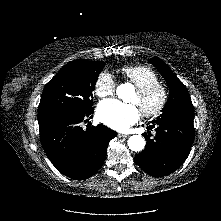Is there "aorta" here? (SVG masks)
<instances>
[{
  "mask_svg": "<svg viewBox=\"0 0 221 221\" xmlns=\"http://www.w3.org/2000/svg\"><path fill=\"white\" fill-rule=\"evenodd\" d=\"M132 90V85L125 83L119 85L116 92L118 97L122 98L124 93H130ZM128 146L132 151H142L145 147V139L141 135H133L128 139Z\"/></svg>",
  "mask_w": 221,
  "mask_h": 221,
  "instance_id": "aorta-1",
  "label": "aorta"
}]
</instances>
